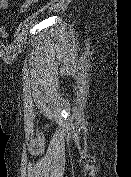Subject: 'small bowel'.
<instances>
[{
  "label": "small bowel",
  "mask_w": 131,
  "mask_h": 177,
  "mask_svg": "<svg viewBox=\"0 0 131 177\" xmlns=\"http://www.w3.org/2000/svg\"><path fill=\"white\" fill-rule=\"evenodd\" d=\"M39 0H22L19 8V12L22 13L26 11L30 6L37 3ZM13 2L11 0H0V8L8 9L13 6ZM8 29L6 26L0 25V33L5 35L7 34Z\"/></svg>",
  "instance_id": "small-bowel-1"
}]
</instances>
